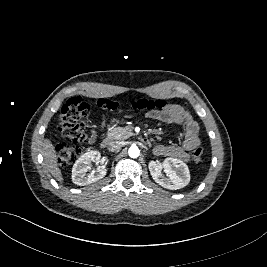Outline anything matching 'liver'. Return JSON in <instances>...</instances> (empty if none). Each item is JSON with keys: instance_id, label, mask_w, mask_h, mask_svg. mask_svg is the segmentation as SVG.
Here are the masks:
<instances>
[{"instance_id": "liver-1", "label": "liver", "mask_w": 267, "mask_h": 267, "mask_svg": "<svg viewBox=\"0 0 267 267\" xmlns=\"http://www.w3.org/2000/svg\"><path fill=\"white\" fill-rule=\"evenodd\" d=\"M44 163L51 175L59 182H63L61 170L58 168L57 155L55 147L49 139L43 142Z\"/></svg>"}]
</instances>
